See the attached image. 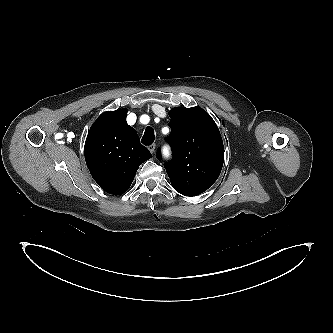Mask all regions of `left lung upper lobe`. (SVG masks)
<instances>
[{
    "mask_svg": "<svg viewBox=\"0 0 333 333\" xmlns=\"http://www.w3.org/2000/svg\"><path fill=\"white\" fill-rule=\"evenodd\" d=\"M169 140L173 158L165 169L174 189L196 196L210 188L220 175L224 146L217 125L202 108H174L169 111ZM160 160V152H157Z\"/></svg>",
    "mask_w": 333,
    "mask_h": 333,
    "instance_id": "obj_1",
    "label": "left lung upper lobe"
}]
</instances>
